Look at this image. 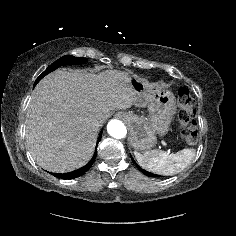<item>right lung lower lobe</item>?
Here are the masks:
<instances>
[{
    "label": "right lung lower lobe",
    "mask_w": 236,
    "mask_h": 236,
    "mask_svg": "<svg viewBox=\"0 0 236 236\" xmlns=\"http://www.w3.org/2000/svg\"><path fill=\"white\" fill-rule=\"evenodd\" d=\"M100 139H101V136L99 137L97 143L100 141ZM96 155H97V152H95L93 158L89 161V163L80 169H77V170L69 172V173H64V174L52 173V175H54L55 177L60 178V179H73V178L79 177V176L83 175L86 171L89 170V168L92 166V164L96 158Z\"/></svg>",
    "instance_id": "right-lung-lower-lobe-1"
}]
</instances>
